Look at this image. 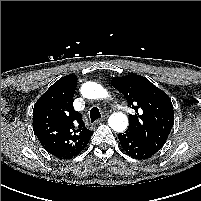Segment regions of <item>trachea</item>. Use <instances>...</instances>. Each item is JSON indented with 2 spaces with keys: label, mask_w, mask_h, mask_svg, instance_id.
Listing matches in <instances>:
<instances>
[{
  "label": "trachea",
  "mask_w": 201,
  "mask_h": 201,
  "mask_svg": "<svg viewBox=\"0 0 201 201\" xmlns=\"http://www.w3.org/2000/svg\"><path fill=\"white\" fill-rule=\"evenodd\" d=\"M91 122H94L96 119L101 118V113L97 107H93L90 110Z\"/></svg>",
  "instance_id": "3493384b"
}]
</instances>
